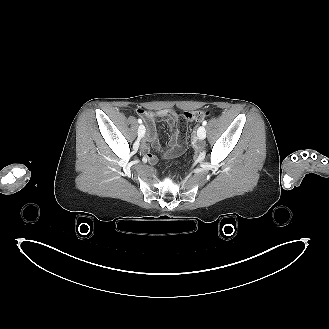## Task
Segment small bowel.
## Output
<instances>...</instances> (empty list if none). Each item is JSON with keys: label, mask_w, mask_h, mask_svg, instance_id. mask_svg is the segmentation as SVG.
<instances>
[{"label": "small bowel", "mask_w": 329, "mask_h": 329, "mask_svg": "<svg viewBox=\"0 0 329 329\" xmlns=\"http://www.w3.org/2000/svg\"><path fill=\"white\" fill-rule=\"evenodd\" d=\"M136 113L143 118L147 125V134L143 140V146L145 156L149 161L154 162L156 160L155 156L150 152V147L159 148L158 133L155 124L157 118L166 120L171 129V149L164 154L165 157L173 158L184 150L185 140L181 134V130L187 127L184 111H176L169 108L147 111L143 108H137Z\"/></svg>", "instance_id": "1"}]
</instances>
